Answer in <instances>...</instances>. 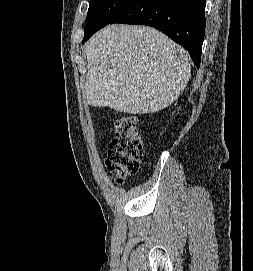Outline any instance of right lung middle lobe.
I'll return each mask as SVG.
<instances>
[{"instance_id":"right-lung-middle-lobe-1","label":"right lung middle lobe","mask_w":253,"mask_h":271,"mask_svg":"<svg viewBox=\"0 0 253 271\" xmlns=\"http://www.w3.org/2000/svg\"><path fill=\"white\" fill-rule=\"evenodd\" d=\"M132 0H90L84 37L108 25Z\"/></svg>"}]
</instances>
